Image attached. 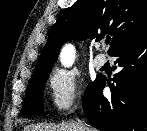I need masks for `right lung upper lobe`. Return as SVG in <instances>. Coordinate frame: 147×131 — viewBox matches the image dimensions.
I'll use <instances>...</instances> for the list:
<instances>
[{"instance_id":"obj_1","label":"right lung upper lobe","mask_w":147,"mask_h":131,"mask_svg":"<svg viewBox=\"0 0 147 131\" xmlns=\"http://www.w3.org/2000/svg\"><path fill=\"white\" fill-rule=\"evenodd\" d=\"M106 34L112 36L110 55L146 35L147 0H79L63 9L50 30L33 75L51 70L66 40L98 41Z\"/></svg>"}]
</instances>
